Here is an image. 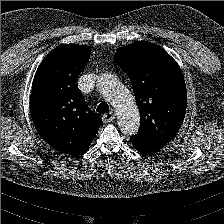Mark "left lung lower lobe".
Wrapping results in <instances>:
<instances>
[{"mask_svg":"<svg viewBox=\"0 0 224 224\" xmlns=\"http://www.w3.org/2000/svg\"><path fill=\"white\" fill-rule=\"evenodd\" d=\"M130 140L134 148L142 154L157 152L166 145L163 141L140 131L131 136Z\"/></svg>","mask_w":224,"mask_h":224,"instance_id":"left-lung-lower-lobe-1","label":"left lung lower lobe"}]
</instances>
